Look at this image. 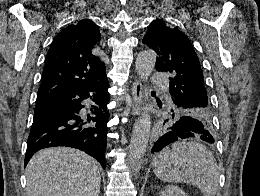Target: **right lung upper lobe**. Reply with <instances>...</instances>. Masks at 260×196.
I'll use <instances>...</instances> for the list:
<instances>
[{
    "label": "right lung upper lobe",
    "mask_w": 260,
    "mask_h": 196,
    "mask_svg": "<svg viewBox=\"0 0 260 196\" xmlns=\"http://www.w3.org/2000/svg\"><path fill=\"white\" fill-rule=\"evenodd\" d=\"M104 52L99 27L91 20L67 26L54 38L47 53L37 105L104 81Z\"/></svg>",
    "instance_id": "cb5924a9"
}]
</instances>
